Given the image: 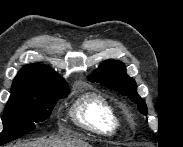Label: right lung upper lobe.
Segmentation results:
<instances>
[{
    "instance_id": "cb5924a9",
    "label": "right lung upper lobe",
    "mask_w": 183,
    "mask_h": 147,
    "mask_svg": "<svg viewBox=\"0 0 183 147\" xmlns=\"http://www.w3.org/2000/svg\"><path fill=\"white\" fill-rule=\"evenodd\" d=\"M67 84L55 71L41 64L24 66L14 79L12 89L17 88H62Z\"/></svg>"
}]
</instances>
